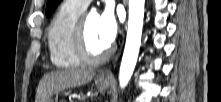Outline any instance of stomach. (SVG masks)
Segmentation results:
<instances>
[{
  "label": "stomach",
  "instance_id": "stomach-1",
  "mask_svg": "<svg viewBox=\"0 0 221 102\" xmlns=\"http://www.w3.org/2000/svg\"><path fill=\"white\" fill-rule=\"evenodd\" d=\"M111 81L107 80V79H102V78H98L95 81V84L97 86L98 89L100 90H106L107 88H109ZM44 102H53L52 100H46Z\"/></svg>",
  "mask_w": 221,
  "mask_h": 102
}]
</instances>
